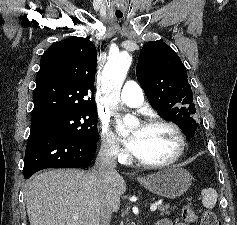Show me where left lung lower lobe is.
Wrapping results in <instances>:
<instances>
[{
    "mask_svg": "<svg viewBox=\"0 0 237 225\" xmlns=\"http://www.w3.org/2000/svg\"><path fill=\"white\" fill-rule=\"evenodd\" d=\"M194 134H191V135H187L186 137L187 138H191Z\"/></svg>",
    "mask_w": 237,
    "mask_h": 225,
    "instance_id": "0a47b994",
    "label": "left lung lower lobe"
}]
</instances>
